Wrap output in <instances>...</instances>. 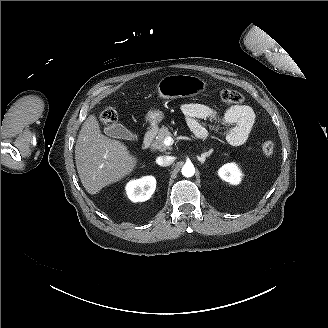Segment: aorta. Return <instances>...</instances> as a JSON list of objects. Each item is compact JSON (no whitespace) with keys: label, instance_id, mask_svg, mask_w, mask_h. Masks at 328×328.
<instances>
[{"label":"aorta","instance_id":"762f6f07","mask_svg":"<svg viewBox=\"0 0 328 328\" xmlns=\"http://www.w3.org/2000/svg\"><path fill=\"white\" fill-rule=\"evenodd\" d=\"M181 172L184 177H192L195 173V168L192 163H186L182 167Z\"/></svg>","mask_w":328,"mask_h":328}]
</instances>
